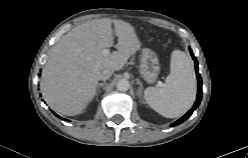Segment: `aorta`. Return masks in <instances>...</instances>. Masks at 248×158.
<instances>
[{
  "label": "aorta",
  "instance_id": "762f6f07",
  "mask_svg": "<svg viewBox=\"0 0 248 158\" xmlns=\"http://www.w3.org/2000/svg\"><path fill=\"white\" fill-rule=\"evenodd\" d=\"M129 87H130V83L126 79H121L117 82V89L119 91H126L129 89Z\"/></svg>",
  "mask_w": 248,
  "mask_h": 158
}]
</instances>
